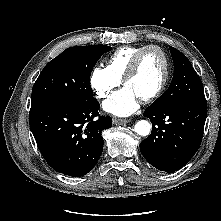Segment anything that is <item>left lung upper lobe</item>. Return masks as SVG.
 <instances>
[{
	"instance_id": "1",
	"label": "left lung upper lobe",
	"mask_w": 221,
	"mask_h": 221,
	"mask_svg": "<svg viewBox=\"0 0 221 221\" xmlns=\"http://www.w3.org/2000/svg\"><path fill=\"white\" fill-rule=\"evenodd\" d=\"M174 62V76L167 91L148 109H158L180 104L206 103L201 79L190 61L180 51L170 46Z\"/></svg>"
}]
</instances>
